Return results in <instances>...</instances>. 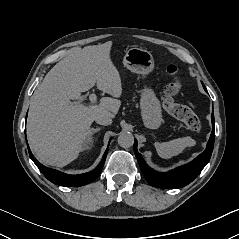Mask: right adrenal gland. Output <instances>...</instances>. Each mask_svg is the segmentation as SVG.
<instances>
[{"label": "right adrenal gland", "instance_id": "right-adrenal-gland-1", "mask_svg": "<svg viewBox=\"0 0 239 239\" xmlns=\"http://www.w3.org/2000/svg\"><path fill=\"white\" fill-rule=\"evenodd\" d=\"M100 130H101L100 127L91 128V130H90V135H89L88 139H87L86 142H85V146H86L87 148H88V144L92 145L93 135H94L96 132L100 131Z\"/></svg>", "mask_w": 239, "mask_h": 239}]
</instances>
